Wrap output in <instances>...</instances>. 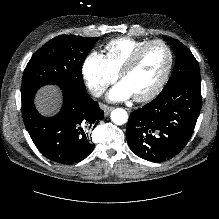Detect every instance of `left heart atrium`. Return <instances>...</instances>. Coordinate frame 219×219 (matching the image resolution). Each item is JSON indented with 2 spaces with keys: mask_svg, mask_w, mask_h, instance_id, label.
<instances>
[{
  "mask_svg": "<svg viewBox=\"0 0 219 219\" xmlns=\"http://www.w3.org/2000/svg\"><path fill=\"white\" fill-rule=\"evenodd\" d=\"M107 97L112 101H121L129 99L133 95L127 85L121 81L108 92Z\"/></svg>",
  "mask_w": 219,
  "mask_h": 219,
  "instance_id": "39dd6f15",
  "label": "left heart atrium"
}]
</instances>
